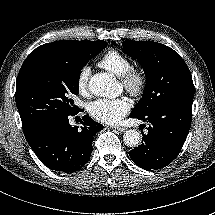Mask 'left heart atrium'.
<instances>
[{
    "label": "left heart atrium",
    "instance_id": "39dd6f15",
    "mask_svg": "<svg viewBox=\"0 0 215 215\" xmlns=\"http://www.w3.org/2000/svg\"><path fill=\"white\" fill-rule=\"evenodd\" d=\"M129 111V101L124 97L116 99L99 98L93 101L89 107L91 117L106 124L119 122Z\"/></svg>",
    "mask_w": 215,
    "mask_h": 215
}]
</instances>
